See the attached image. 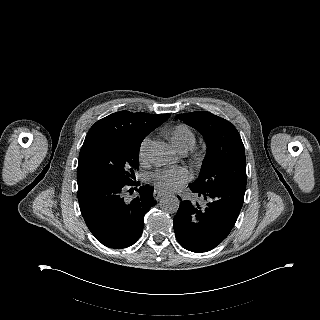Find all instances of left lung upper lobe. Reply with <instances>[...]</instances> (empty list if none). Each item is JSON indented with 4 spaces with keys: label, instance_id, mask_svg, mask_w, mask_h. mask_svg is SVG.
<instances>
[{
    "label": "left lung upper lobe",
    "instance_id": "5c2ea615",
    "mask_svg": "<svg viewBox=\"0 0 320 320\" xmlns=\"http://www.w3.org/2000/svg\"><path fill=\"white\" fill-rule=\"evenodd\" d=\"M198 130L208 149L199 177L190 186L199 190L214 189L226 183L246 186L245 149L236 128L210 112L196 111L177 116Z\"/></svg>",
    "mask_w": 320,
    "mask_h": 320
}]
</instances>
